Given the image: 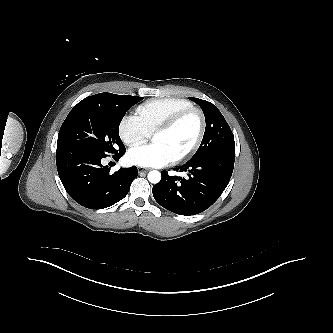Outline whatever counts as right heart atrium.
<instances>
[{
	"mask_svg": "<svg viewBox=\"0 0 333 333\" xmlns=\"http://www.w3.org/2000/svg\"><path fill=\"white\" fill-rule=\"evenodd\" d=\"M121 140L128 147L144 143L150 136L149 131L137 115L127 114L122 117L118 125Z\"/></svg>",
	"mask_w": 333,
	"mask_h": 333,
	"instance_id": "1",
	"label": "right heart atrium"
}]
</instances>
